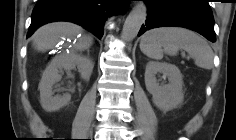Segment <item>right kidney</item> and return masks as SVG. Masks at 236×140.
<instances>
[{
	"instance_id": "ca27d5eb",
	"label": "right kidney",
	"mask_w": 236,
	"mask_h": 140,
	"mask_svg": "<svg viewBox=\"0 0 236 140\" xmlns=\"http://www.w3.org/2000/svg\"><path fill=\"white\" fill-rule=\"evenodd\" d=\"M76 66L79 68L81 78L84 80H89L94 64L88 57L78 54H63L56 56L50 62L44 71L39 84L40 103L45 111H57L68 104L71 99V95L65 93L63 95L53 96V87L61 80L60 73L63 70L70 71Z\"/></svg>"
}]
</instances>
